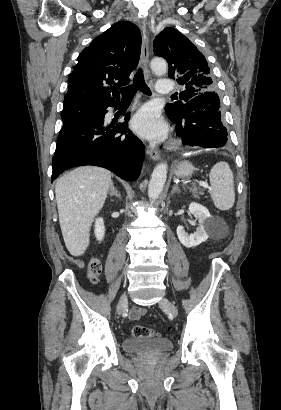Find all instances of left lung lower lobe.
Here are the masks:
<instances>
[{"mask_svg": "<svg viewBox=\"0 0 281 410\" xmlns=\"http://www.w3.org/2000/svg\"><path fill=\"white\" fill-rule=\"evenodd\" d=\"M176 126V134L184 145L218 148L227 142V130L221 122L218 94H202L186 104L181 119H170Z\"/></svg>", "mask_w": 281, "mask_h": 410, "instance_id": "0a47b994", "label": "left lung lower lobe"}]
</instances>
